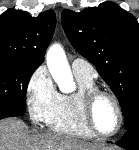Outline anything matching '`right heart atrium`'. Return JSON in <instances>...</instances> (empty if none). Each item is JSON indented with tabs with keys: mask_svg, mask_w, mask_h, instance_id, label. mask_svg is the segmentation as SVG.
<instances>
[{
	"mask_svg": "<svg viewBox=\"0 0 139 150\" xmlns=\"http://www.w3.org/2000/svg\"><path fill=\"white\" fill-rule=\"evenodd\" d=\"M57 95L45 68H37L30 76L26 88V104L30 118L36 123L45 122L47 112Z\"/></svg>",
	"mask_w": 139,
	"mask_h": 150,
	"instance_id": "obj_1",
	"label": "right heart atrium"
}]
</instances>
